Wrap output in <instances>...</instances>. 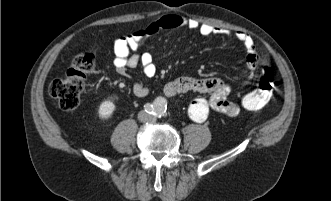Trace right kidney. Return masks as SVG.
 <instances>
[{
    "mask_svg": "<svg viewBox=\"0 0 331 201\" xmlns=\"http://www.w3.org/2000/svg\"><path fill=\"white\" fill-rule=\"evenodd\" d=\"M116 97H110L102 102L97 110V113L101 119H109L115 111L114 99Z\"/></svg>",
    "mask_w": 331,
    "mask_h": 201,
    "instance_id": "right-kidney-1",
    "label": "right kidney"
}]
</instances>
